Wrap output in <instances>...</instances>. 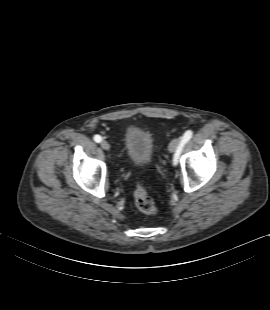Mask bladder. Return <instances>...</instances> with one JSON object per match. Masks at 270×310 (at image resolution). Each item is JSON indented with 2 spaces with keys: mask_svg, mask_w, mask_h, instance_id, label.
Returning <instances> with one entry per match:
<instances>
[{
  "mask_svg": "<svg viewBox=\"0 0 270 310\" xmlns=\"http://www.w3.org/2000/svg\"><path fill=\"white\" fill-rule=\"evenodd\" d=\"M124 148L128 161L134 166L145 167L152 162L154 143L146 130L129 127L124 134Z\"/></svg>",
  "mask_w": 270,
  "mask_h": 310,
  "instance_id": "31cf9c89",
  "label": "bladder"
}]
</instances>
